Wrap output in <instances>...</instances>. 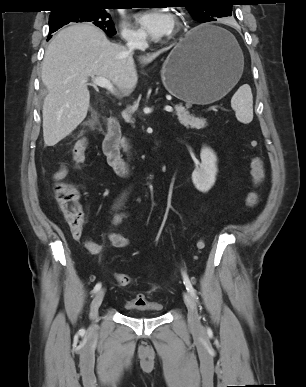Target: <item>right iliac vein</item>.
Here are the masks:
<instances>
[{
  "mask_svg": "<svg viewBox=\"0 0 306 387\" xmlns=\"http://www.w3.org/2000/svg\"><path fill=\"white\" fill-rule=\"evenodd\" d=\"M104 295H105V289L99 290L97 292V294L95 295L94 299L92 300V303H91L90 318L93 321V326H92L93 331L95 330V323L98 319V309H99L100 305L102 304V301L104 299Z\"/></svg>",
  "mask_w": 306,
  "mask_h": 387,
  "instance_id": "obj_1",
  "label": "right iliac vein"
}]
</instances>
